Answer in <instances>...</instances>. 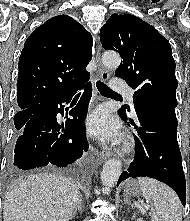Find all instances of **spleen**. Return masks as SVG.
Instances as JSON below:
<instances>
[{"label": "spleen", "mask_w": 190, "mask_h": 221, "mask_svg": "<svg viewBox=\"0 0 190 221\" xmlns=\"http://www.w3.org/2000/svg\"><path fill=\"white\" fill-rule=\"evenodd\" d=\"M138 184L162 221H182L181 202L171 188L151 178H139Z\"/></svg>", "instance_id": "1"}]
</instances>
